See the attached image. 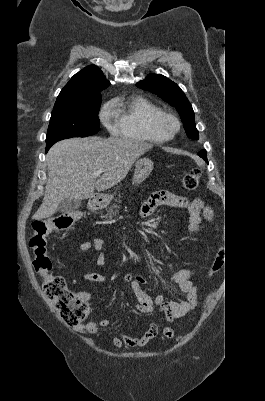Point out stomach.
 <instances>
[{
  "instance_id": "0dacf381",
  "label": "stomach",
  "mask_w": 265,
  "mask_h": 401,
  "mask_svg": "<svg viewBox=\"0 0 265 401\" xmlns=\"http://www.w3.org/2000/svg\"><path fill=\"white\" fill-rule=\"evenodd\" d=\"M154 166L153 160L151 158H139L135 162L134 174H133V182L135 184H141L147 176H149L150 172H152ZM113 194H106L104 198H101L102 203L100 205H108L110 203Z\"/></svg>"
}]
</instances>
